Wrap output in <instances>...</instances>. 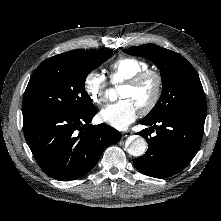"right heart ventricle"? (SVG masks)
Returning a JSON list of instances; mask_svg holds the SVG:
<instances>
[{
    "mask_svg": "<svg viewBox=\"0 0 221 221\" xmlns=\"http://www.w3.org/2000/svg\"><path fill=\"white\" fill-rule=\"evenodd\" d=\"M149 69V64L135 57H120L108 67L110 80L113 84H120L136 74Z\"/></svg>",
    "mask_w": 221,
    "mask_h": 221,
    "instance_id": "e07e8e85",
    "label": "right heart ventricle"
}]
</instances>
